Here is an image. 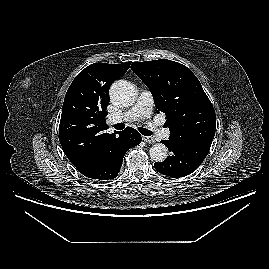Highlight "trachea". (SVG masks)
I'll use <instances>...</instances> for the list:
<instances>
[{"instance_id": "trachea-1", "label": "trachea", "mask_w": 269, "mask_h": 269, "mask_svg": "<svg viewBox=\"0 0 269 269\" xmlns=\"http://www.w3.org/2000/svg\"><path fill=\"white\" fill-rule=\"evenodd\" d=\"M114 128L116 130H123L125 128V124L123 123H118L116 125H114ZM138 130L140 131V133L144 136H150L152 135V132L146 128H143V127H139Z\"/></svg>"}]
</instances>
